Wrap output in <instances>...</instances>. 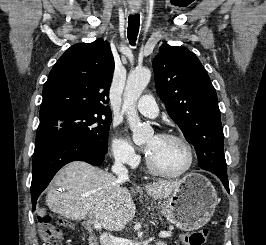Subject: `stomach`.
Returning <instances> with one entry per match:
<instances>
[{
  "label": "stomach",
  "mask_w": 266,
  "mask_h": 245,
  "mask_svg": "<svg viewBox=\"0 0 266 245\" xmlns=\"http://www.w3.org/2000/svg\"><path fill=\"white\" fill-rule=\"evenodd\" d=\"M218 203L217 193L209 179L199 173H189L179 187L157 205L163 217L181 231H196L210 221Z\"/></svg>",
  "instance_id": "stomach-1"
}]
</instances>
